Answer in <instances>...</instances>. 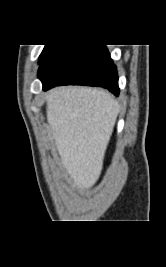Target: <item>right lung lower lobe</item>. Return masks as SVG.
I'll list each match as a JSON object with an SVG mask.
<instances>
[{"label": "right lung lower lobe", "instance_id": "obj_1", "mask_svg": "<svg viewBox=\"0 0 166 267\" xmlns=\"http://www.w3.org/2000/svg\"><path fill=\"white\" fill-rule=\"evenodd\" d=\"M43 90L59 85H88L118 96V73L106 45H53L40 62Z\"/></svg>", "mask_w": 166, "mask_h": 267}]
</instances>
